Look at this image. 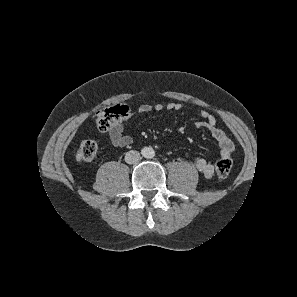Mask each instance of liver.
<instances>
[{"instance_id":"obj_1","label":"liver","mask_w":297,"mask_h":297,"mask_svg":"<svg viewBox=\"0 0 297 297\" xmlns=\"http://www.w3.org/2000/svg\"><path fill=\"white\" fill-rule=\"evenodd\" d=\"M81 153H80V151H78L77 152V154H76V160L78 161V162H80L81 161Z\"/></svg>"}]
</instances>
